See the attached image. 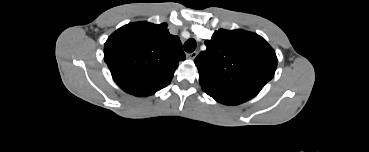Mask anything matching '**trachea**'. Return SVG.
Masks as SVG:
<instances>
[{"instance_id":"obj_1","label":"trachea","mask_w":369,"mask_h":152,"mask_svg":"<svg viewBox=\"0 0 369 152\" xmlns=\"http://www.w3.org/2000/svg\"><path fill=\"white\" fill-rule=\"evenodd\" d=\"M196 48V41L193 38L188 39L185 43H184V49L186 52L191 53L195 50Z\"/></svg>"}]
</instances>
